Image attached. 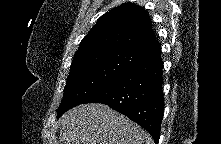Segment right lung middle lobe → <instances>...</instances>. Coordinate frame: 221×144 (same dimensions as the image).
<instances>
[{
  "instance_id": "1",
  "label": "right lung middle lobe",
  "mask_w": 221,
  "mask_h": 144,
  "mask_svg": "<svg viewBox=\"0 0 221 144\" xmlns=\"http://www.w3.org/2000/svg\"><path fill=\"white\" fill-rule=\"evenodd\" d=\"M142 58L141 55L125 51H105L72 62L57 117L83 104L91 95L129 71Z\"/></svg>"
}]
</instances>
